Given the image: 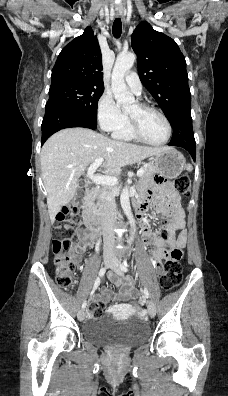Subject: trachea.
Segmentation results:
<instances>
[{
	"mask_svg": "<svg viewBox=\"0 0 228 396\" xmlns=\"http://www.w3.org/2000/svg\"><path fill=\"white\" fill-rule=\"evenodd\" d=\"M113 36L119 38L122 32V23L120 18H116L112 27Z\"/></svg>",
	"mask_w": 228,
	"mask_h": 396,
	"instance_id": "trachea-1",
	"label": "trachea"
}]
</instances>
